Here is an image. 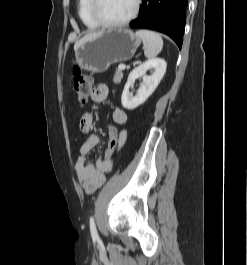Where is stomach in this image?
<instances>
[{"label": "stomach", "mask_w": 247, "mask_h": 265, "mask_svg": "<svg viewBox=\"0 0 247 265\" xmlns=\"http://www.w3.org/2000/svg\"><path fill=\"white\" fill-rule=\"evenodd\" d=\"M140 44L141 39L129 29H108L78 45L75 62L86 71L101 73L111 64L131 59Z\"/></svg>", "instance_id": "stomach-1"}]
</instances>
